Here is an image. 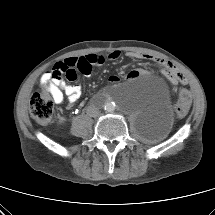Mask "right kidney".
Masks as SVG:
<instances>
[{"label": "right kidney", "instance_id": "1", "mask_svg": "<svg viewBox=\"0 0 215 215\" xmlns=\"http://www.w3.org/2000/svg\"><path fill=\"white\" fill-rule=\"evenodd\" d=\"M63 122V120H60V123H62Z\"/></svg>", "mask_w": 215, "mask_h": 215}]
</instances>
